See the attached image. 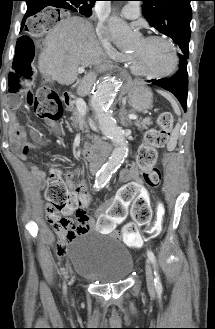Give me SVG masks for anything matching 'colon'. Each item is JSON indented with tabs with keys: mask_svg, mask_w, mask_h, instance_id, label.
Here are the masks:
<instances>
[{
	"mask_svg": "<svg viewBox=\"0 0 215 329\" xmlns=\"http://www.w3.org/2000/svg\"><path fill=\"white\" fill-rule=\"evenodd\" d=\"M68 19V14H60L56 11L49 14H32L31 19H28V25L23 27L26 37H17L18 55L13 56V61L7 62L9 73H24L11 74V81L7 88L8 109H21V103H27L28 100L39 118L49 121L60 119L58 94L46 86H41L34 94L27 88V81L32 74V62L35 57L34 44H38V38H51L53 26H58L59 21H68ZM40 79L46 81L48 76L42 74ZM172 126V113L162 111L157 119V127L147 131L145 142L137 153V163L144 181L152 189H157L161 184V173L156 167L158 149L166 145ZM48 181L45 197L51 210L60 215H74V219L61 216L58 222L52 224L53 229L59 234V242L62 243L66 240L68 232L75 227V219L86 213L85 209L90 203V197L84 185L71 188L58 169L51 171ZM147 201L150 204V200L147 199ZM153 211L156 222L152 226H149L151 218H133V223L124 226L123 236L127 240L140 238L145 242L157 238L162 231V221L167 220L168 208L154 206Z\"/></svg>",
	"mask_w": 215,
	"mask_h": 329,
	"instance_id": "5ec220e1",
	"label": "colon"
}]
</instances>
